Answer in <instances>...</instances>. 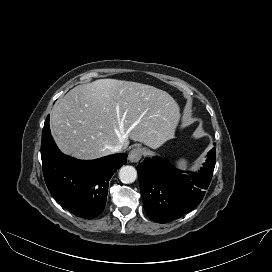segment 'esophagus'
<instances>
[{"label":"esophagus","instance_id":"34e87169","mask_svg":"<svg viewBox=\"0 0 272 272\" xmlns=\"http://www.w3.org/2000/svg\"><path fill=\"white\" fill-rule=\"evenodd\" d=\"M142 157V149L140 147L133 148L129 153V161L137 163Z\"/></svg>","mask_w":272,"mask_h":272}]
</instances>
